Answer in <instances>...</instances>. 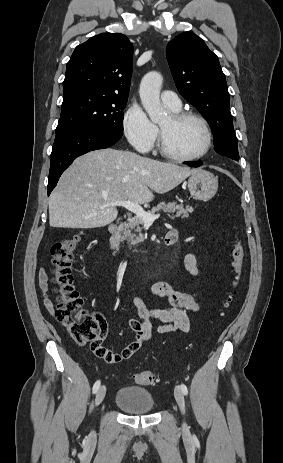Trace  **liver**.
<instances>
[{"label":"liver","instance_id":"1","mask_svg":"<svg viewBox=\"0 0 283 463\" xmlns=\"http://www.w3.org/2000/svg\"><path fill=\"white\" fill-rule=\"evenodd\" d=\"M198 170L130 151H91L78 157L60 177L49 197V224L81 229L106 226L118 215L116 206L107 203L151 202L153 192L164 194Z\"/></svg>","mask_w":283,"mask_h":463}]
</instances>
